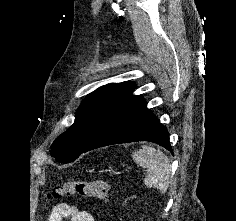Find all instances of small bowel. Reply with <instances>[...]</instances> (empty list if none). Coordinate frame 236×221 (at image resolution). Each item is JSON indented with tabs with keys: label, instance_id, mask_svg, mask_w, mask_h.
Returning a JSON list of instances; mask_svg holds the SVG:
<instances>
[{
	"label": "small bowel",
	"instance_id": "small-bowel-1",
	"mask_svg": "<svg viewBox=\"0 0 236 221\" xmlns=\"http://www.w3.org/2000/svg\"><path fill=\"white\" fill-rule=\"evenodd\" d=\"M66 218L70 221H95L90 212L65 202L58 203L53 207L47 221H63Z\"/></svg>",
	"mask_w": 236,
	"mask_h": 221
}]
</instances>
